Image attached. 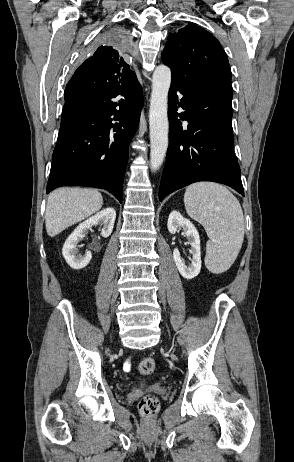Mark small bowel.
Returning <instances> with one entry per match:
<instances>
[{"mask_svg":"<svg viewBox=\"0 0 294 462\" xmlns=\"http://www.w3.org/2000/svg\"><path fill=\"white\" fill-rule=\"evenodd\" d=\"M124 369H125L126 371H129V370H130V363H129V362H126V363L124 364Z\"/></svg>","mask_w":294,"mask_h":462,"instance_id":"small-bowel-1","label":"small bowel"}]
</instances>
